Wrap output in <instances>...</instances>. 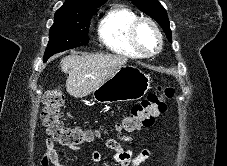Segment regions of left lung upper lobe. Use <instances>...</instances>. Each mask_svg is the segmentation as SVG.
Masks as SVG:
<instances>
[{"label": "left lung upper lobe", "instance_id": "5c2ea615", "mask_svg": "<svg viewBox=\"0 0 227 166\" xmlns=\"http://www.w3.org/2000/svg\"><path fill=\"white\" fill-rule=\"evenodd\" d=\"M136 5L142 12L155 19L162 27L168 40L171 41V30L169 27V19L164 7L158 0H130Z\"/></svg>", "mask_w": 227, "mask_h": 166}]
</instances>
